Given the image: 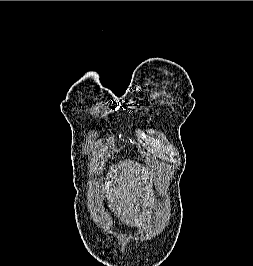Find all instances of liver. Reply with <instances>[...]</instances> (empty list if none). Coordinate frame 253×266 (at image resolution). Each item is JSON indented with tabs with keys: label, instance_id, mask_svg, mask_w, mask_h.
I'll return each mask as SVG.
<instances>
[{
	"label": "liver",
	"instance_id": "liver-1",
	"mask_svg": "<svg viewBox=\"0 0 253 266\" xmlns=\"http://www.w3.org/2000/svg\"><path fill=\"white\" fill-rule=\"evenodd\" d=\"M132 165L133 163L130 161L122 162V173L118 176H114L115 181L112 180L111 182L107 181L102 183V191L110 194L109 187L112 183L114 184L117 182L119 187L115 195L118 199V201L115 202L116 214L125 224H135L138 226L144 215L140 214L137 209L139 205L145 201V198L142 197L143 193L141 187L137 185L138 179L136 176L139 174V171H135ZM140 198H142V200Z\"/></svg>",
	"mask_w": 253,
	"mask_h": 266
}]
</instances>
